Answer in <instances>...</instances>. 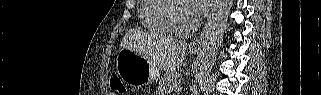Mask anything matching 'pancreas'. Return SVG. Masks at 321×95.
<instances>
[{
    "mask_svg": "<svg viewBox=\"0 0 321 95\" xmlns=\"http://www.w3.org/2000/svg\"><path fill=\"white\" fill-rule=\"evenodd\" d=\"M181 74L177 72H168L163 78L159 81V92L163 94L169 90H174L179 86L178 80L180 79Z\"/></svg>",
    "mask_w": 321,
    "mask_h": 95,
    "instance_id": "1",
    "label": "pancreas"
}]
</instances>
